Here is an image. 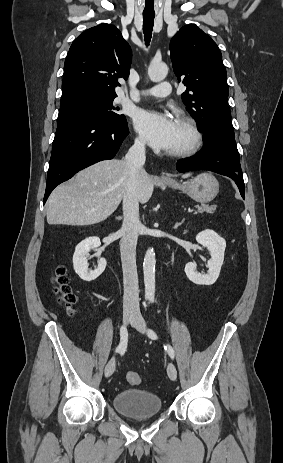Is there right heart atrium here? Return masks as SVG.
Returning a JSON list of instances; mask_svg holds the SVG:
<instances>
[{
  "label": "right heart atrium",
  "instance_id": "right-heart-atrium-1",
  "mask_svg": "<svg viewBox=\"0 0 283 463\" xmlns=\"http://www.w3.org/2000/svg\"><path fill=\"white\" fill-rule=\"evenodd\" d=\"M135 144H136V146L139 147V148L144 147V141H143V139H142L141 137H137V138L135 139Z\"/></svg>",
  "mask_w": 283,
  "mask_h": 463
}]
</instances>
